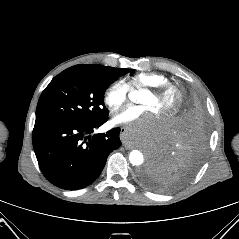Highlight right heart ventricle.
I'll use <instances>...</instances> for the list:
<instances>
[{"mask_svg":"<svg viewBox=\"0 0 239 239\" xmlns=\"http://www.w3.org/2000/svg\"><path fill=\"white\" fill-rule=\"evenodd\" d=\"M168 83V77L156 72L139 73L132 76L129 80V85L135 88L157 87Z\"/></svg>","mask_w":239,"mask_h":239,"instance_id":"e07e8e85","label":"right heart ventricle"}]
</instances>
